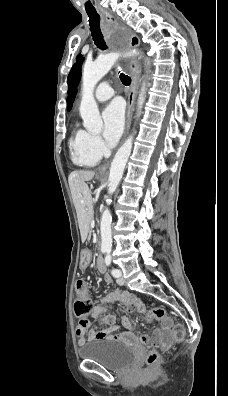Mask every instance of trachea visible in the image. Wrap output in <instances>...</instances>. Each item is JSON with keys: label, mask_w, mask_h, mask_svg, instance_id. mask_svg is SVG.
<instances>
[{"label": "trachea", "mask_w": 228, "mask_h": 396, "mask_svg": "<svg viewBox=\"0 0 228 396\" xmlns=\"http://www.w3.org/2000/svg\"><path fill=\"white\" fill-rule=\"evenodd\" d=\"M87 15L89 17L91 36L93 38L95 45L101 50H106L107 45L104 41L103 34L100 29L99 14L97 13L96 10H94V11H87ZM120 79L121 82L126 86L130 85L131 83V78L128 75H125L124 73H120Z\"/></svg>", "instance_id": "3493384b"}]
</instances>
